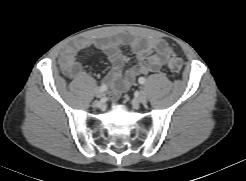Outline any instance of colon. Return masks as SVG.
Segmentation results:
<instances>
[{"instance_id": "5ec220e1", "label": "colon", "mask_w": 246, "mask_h": 181, "mask_svg": "<svg viewBox=\"0 0 246 181\" xmlns=\"http://www.w3.org/2000/svg\"><path fill=\"white\" fill-rule=\"evenodd\" d=\"M167 66L171 73H179L183 67V60L174 52H170Z\"/></svg>"}]
</instances>
